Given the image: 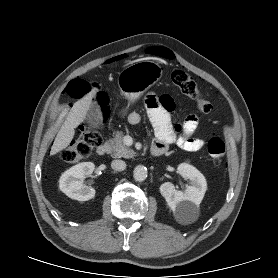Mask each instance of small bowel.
I'll return each mask as SVG.
<instances>
[{
	"label": "small bowel",
	"mask_w": 278,
	"mask_h": 278,
	"mask_svg": "<svg viewBox=\"0 0 278 278\" xmlns=\"http://www.w3.org/2000/svg\"><path fill=\"white\" fill-rule=\"evenodd\" d=\"M145 103L147 115L154 128V145L167 150L170 144L175 143L189 152H197L203 148L205 141L193 136L199 124L196 114H190L182 124L174 125L171 118L174 103L170 96L163 95L158 98L150 94ZM141 119V114L137 112L128 116V122L132 125L138 124Z\"/></svg>",
	"instance_id": "small-bowel-1"
}]
</instances>
